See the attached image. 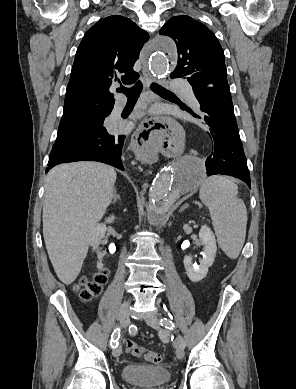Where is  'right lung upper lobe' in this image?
Returning a JSON list of instances; mask_svg holds the SVG:
<instances>
[{
  "label": "right lung upper lobe",
  "instance_id": "obj_1",
  "mask_svg": "<svg viewBox=\"0 0 296 389\" xmlns=\"http://www.w3.org/2000/svg\"><path fill=\"white\" fill-rule=\"evenodd\" d=\"M149 35L129 18L112 15L84 35L75 55L62 118L79 114H110L115 82L132 84L133 66Z\"/></svg>",
  "mask_w": 296,
  "mask_h": 389
}]
</instances>
